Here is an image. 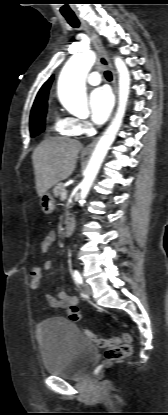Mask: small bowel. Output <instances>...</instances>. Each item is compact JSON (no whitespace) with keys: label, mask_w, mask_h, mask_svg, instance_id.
<instances>
[{"label":"small bowel","mask_w":168,"mask_h":415,"mask_svg":"<svg viewBox=\"0 0 168 415\" xmlns=\"http://www.w3.org/2000/svg\"><path fill=\"white\" fill-rule=\"evenodd\" d=\"M56 241V233L50 232L41 243V250L43 253L48 254ZM52 267V262L46 260L43 263L44 270H50ZM42 270V269H41ZM44 297L47 302L54 308L67 310L69 312V317L73 321L80 319V313L78 308V298L74 295H70L66 291H60L57 294V297H54L49 291L44 292Z\"/></svg>","instance_id":"c3829d8e"}]
</instances>
